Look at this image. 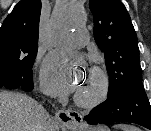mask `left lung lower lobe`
<instances>
[{
  "instance_id": "left-lung-lower-lobe-1",
  "label": "left lung lower lobe",
  "mask_w": 151,
  "mask_h": 131,
  "mask_svg": "<svg viewBox=\"0 0 151 131\" xmlns=\"http://www.w3.org/2000/svg\"><path fill=\"white\" fill-rule=\"evenodd\" d=\"M88 124L131 122L151 130V106L142 82L127 85L85 116Z\"/></svg>"
}]
</instances>
